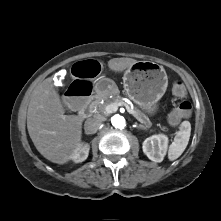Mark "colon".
<instances>
[{"label":"colon","mask_w":221,"mask_h":221,"mask_svg":"<svg viewBox=\"0 0 221 221\" xmlns=\"http://www.w3.org/2000/svg\"><path fill=\"white\" fill-rule=\"evenodd\" d=\"M73 73V83L70 85L64 95V105L67 110L76 112L87 107L89 96L95 89L96 80L101 78L104 68L101 63L95 60L78 59L71 66ZM173 94L183 98L186 95V89L182 82L176 81L172 86ZM192 113V105L188 101H183L171 113L172 123H178L181 119L187 118Z\"/></svg>","instance_id":"colon-1"}]
</instances>
